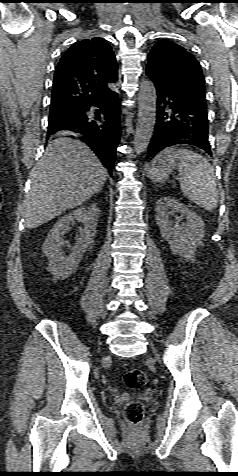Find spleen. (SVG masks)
I'll return each mask as SVG.
<instances>
[{"instance_id": "obj_1", "label": "spleen", "mask_w": 238, "mask_h": 476, "mask_svg": "<svg viewBox=\"0 0 238 476\" xmlns=\"http://www.w3.org/2000/svg\"><path fill=\"white\" fill-rule=\"evenodd\" d=\"M183 194L205 210L212 211L218 203L214 170L209 161L188 149L175 152Z\"/></svg>"}]
</instances>
